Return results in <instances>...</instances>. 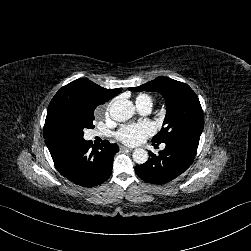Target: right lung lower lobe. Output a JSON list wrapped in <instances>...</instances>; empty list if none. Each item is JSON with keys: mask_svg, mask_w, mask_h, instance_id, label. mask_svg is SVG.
<instances>
[{"mask_svg": "<svg viewBox=\"0 0 251 251\" xmlns=\"http://www.w3.org/2000/svg\"><path fill=\"white\" fill-rule=\"evenodd\" d=\"M47 147L57 170L71 182L93 187L106 181L112 172L117 144L107 140L97 148L91 141L63 137H49Z\"/></svg>", "mask_w": 251, "mask_h": 251, "instance_id": "obj_1", "label": "right lung lower lobe"}]
</instances>
